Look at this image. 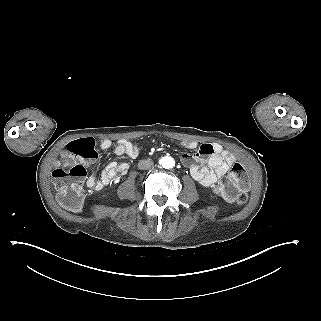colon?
<instances>
[{"mask_svg":"<svg viewBox=\"0 0 321 321\" xmlns=\"http://www.w3.org/2000/svg\"><path fill=\"white\" fill-rule=\"evenodd\" d=\"M96 158L95 142L91 138L70 142L60 156L52 172V178L58 190L59 202L65 209L72 212L82 210L85 199L83 184L87 172L79 161ZM248 187L249 178L244 165L234 163L216 190L227 200L241 205L247 199Z\"/></svg>","mask_w":321,"mask_h":321,"instance_id":"obj_1","label":"colon"}]
</instances>
